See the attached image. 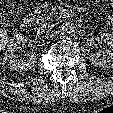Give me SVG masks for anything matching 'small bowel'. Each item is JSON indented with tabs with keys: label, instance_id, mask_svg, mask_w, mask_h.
Wrapping results in <instances>:
<instances>
[{
	"label": "small bowel",
	"instance_id": "1",
	"mask_svg": "<svg viewBox=\"0 0 113 113\" xmlns=\"http://www.w3.org/2000/svg\"><path fill=\"white\" fill-rule=\"evenodd\" d=\"M109 1H110V4L113 7V0H109ZM108 21H109L110 25L112 26V30H113V15L109 17Z\"/></svg>",
	"mask_w": 113,
	"mask_h": 113
}]
</instances>
